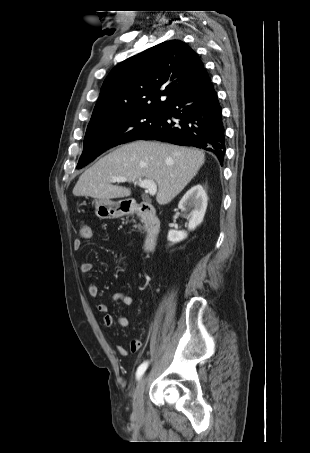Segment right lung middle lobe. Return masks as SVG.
Wrapping results in <instances>:
<instances>
[{
    "instance_id": "1",
    "label": "right lung middle lobe",
    "mask_w": 310,
    "mask_h": 453,
    "mask_svg": "<svg viewBox=\"0 0 310 453\" xmlns=\"http://www.w3.org/2000/svg\"><path fill=\"white\" fill-rule=\"evenodd\" d=\"M163 110L134 111L88 125L77 168L90 163L106 149L137 140L162 120Z\"/></svg>"
}]
</instances>
